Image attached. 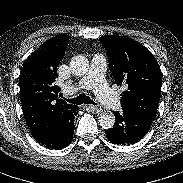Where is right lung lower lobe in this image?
<instances>
[{
  "instance_id": "right-lung-lower-lobe-1",
  "label": "right lung lower lobe",
  "mask_w": 183,
  "mask_h": 183,
  "mask_svg": "<svg viewBox=\"0 0 183 183\" xmlns=\"http://www.w3.org/2000/svg\"><path fill=\"white\" fill-rule=\"evenodd\" d=\"M76 112L65 120H50L40 117L30 126L34 139L49 149H63L72 141Z\"/></svg>"
}]
</instances>
